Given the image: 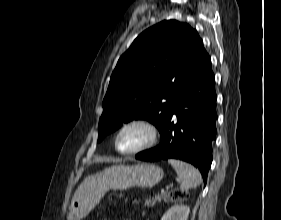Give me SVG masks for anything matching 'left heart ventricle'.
Wrapping results in <instances>:
<instances>
[{"label":"left heart ventricle","instance_id":"obj_1","mask_svg":"<svg viewBox=\"0 0 281 220\" xmlns=\"http://www.w3.org/2000/svg\"><path fill=\"white\" fill-rule=\"evenodd\" d=\"M148 138V132L139 126L126 129L118 139V147L122 151H129L142 145Z\"/></svg>","mask_w":281,"mask_h":220}]
</instances>
